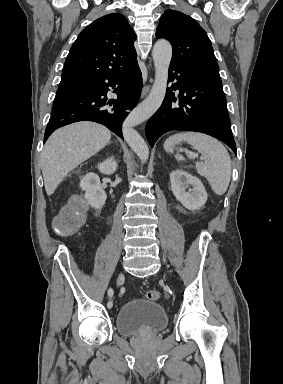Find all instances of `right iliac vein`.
<instances>
[{
	"label": "right iliac vein",
	"mask_w": 283,
	"mask_h": 384,
	"mask_svg": "<svg viewBox=\"0 0 283 384\" xmlns=\"http://www.w3.org/2000/svg\"><path fill=\"white\" fill-rule=\"evenodd\" d=\"M124 280V274L123 273H120L117 277V287L120 286V284L123 282Z\"/></svg>",
	"instance_id": "63e3f726"
}]
</instances>
